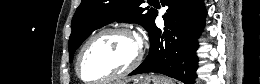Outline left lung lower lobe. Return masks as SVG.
Wrapping results in <instances>:
<instances>
[{
	"label": "left lung lower lobe",
	"mask_w": 260,
	"mask_h": 84,
	"mask_svg": "<svg viewBox=\"0 0 260 84\" xmlns=\"http://www.w3.org/2000/svg\"><path fill=\"white\" fill-rule=\"evenodd\" d=\"M168 5L163 15L165 27L161 31L155 25V17L148 31L149 54L143 63L129 75L161 73L193 84L196 78L198 58L197 33L202 30L206 18L204 0H161Z\"/></svg>",
	"instance_id": "1"
}]
</instances>
